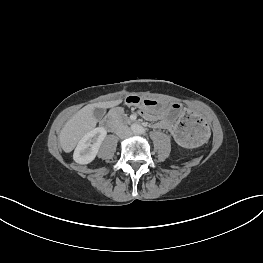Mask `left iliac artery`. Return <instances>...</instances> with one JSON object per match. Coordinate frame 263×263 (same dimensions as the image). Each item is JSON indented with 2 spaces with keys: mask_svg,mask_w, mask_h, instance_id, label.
Returning a JSON list of instances; mask_svg holds the SVG:
<instances>
[{
  "mask_svg": "<svg viewBox=\"0 0 263 263\" xmlns=\"http://www.w3.org/2000/svg\"><path fill=\"white\" fill-rule=\"evenodd\" d=\"M140 133L145 134V133H146L145 129H144V128H141V129H140Z\"/></svg>",
  "mask_w": 263,
  "mask_h": 263,
  "instance_id": "44dca946",
  "label": "left iliac artery"
}]
</instances>
